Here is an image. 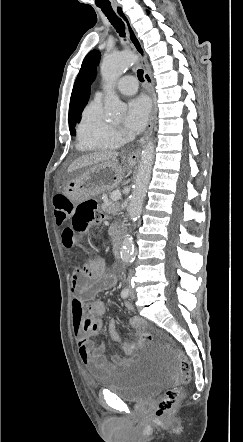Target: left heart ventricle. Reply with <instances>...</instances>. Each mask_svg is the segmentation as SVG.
<instances>
[{"instance_id": "left-heart-ventricle-1", "label": "left heart ventricle", "mask_w": 243, "mask_h": 442, "mask_svg": "<svg viewBox=\"0 0 243 442\" xmlns=\"http://www.w3.org/2000/svg\"><path fill=\"white\" fill-rule=\"evenodd\" d=\"M114 125L119 126L120 122H113Z\"/></svg>"}]
</instances>
